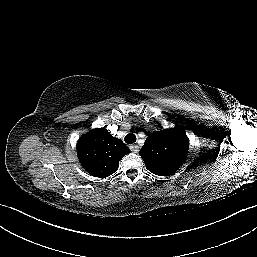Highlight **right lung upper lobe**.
Listing matches in <instances>:
<instances>
[{"instance_id": "obj_1", "label": "right lung upper lobe", "mask_w": 257, "mask_h": 257, "mask_svg": "<svg viewBox=\"0 0 257 257\" xmlns=\"http://www.w3.org/2000/svg\"><path fill=\"white\" fill-rule=\"evenodd\" d=\"M77 153L81 165L88 173L105 178L117 171L119 161L130 153V149L122 140L97 128L80 137Z\"/></svg>"}]
</instances>
